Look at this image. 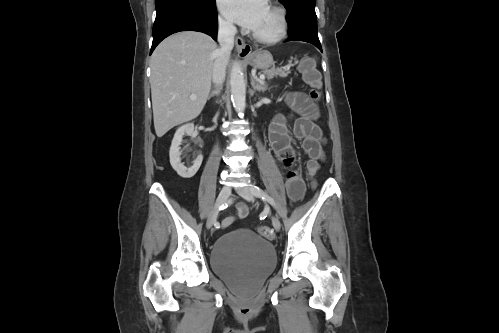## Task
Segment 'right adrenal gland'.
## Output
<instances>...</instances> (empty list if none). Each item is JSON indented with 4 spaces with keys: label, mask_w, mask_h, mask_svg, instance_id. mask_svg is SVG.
Here are the masks:
<instances>
[{
    "label": "right adrenal gland",
    "mask_w": 499,
    "mask_h": 333,
    "mask_svg": "<svg viewBox=\"0 0 499 333\" xmlns=\"http://www.w3.org/2000/svg\"><path fill=\"white\" fill-rule=\"evenodd\" d=\"M221 89H222L221 85L216 86L215 89L211 91V93L209 94L207 99L209 100L211 97H213L215 95L218 96L221 92Z\"/></svg>",
    "instance_id": "right-adrenal-gland-1"
}]
</instances>
